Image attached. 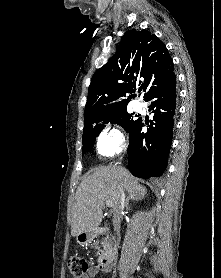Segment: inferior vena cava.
<instances>
[{"mask_svg":"<svg viewBox=\"0 0 221 278\" xmlns=\"http://www.w3.org/2000/svg\"><path fill=\"white\" fill-rule=\"evenodd\" d=\"M125 206V193L124 190L121 189L118 193L117 201L115 206L113 207V226L114 231L119 233L120 231V224H121V213Z\"/></svg>","mask_w":221,"mask_h":278,"instance_id":"1","label":"inferior vena cava"}]
</instances>
